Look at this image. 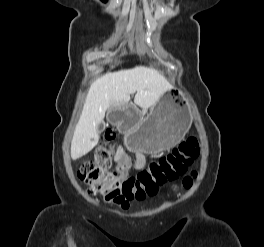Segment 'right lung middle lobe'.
<instances>
[{
  "instance_id": "dd1d6c3e",
  "label": "right lung middle lobe",
  "mask_w": 264,
  "mask_h": 247,
  "mask_svg": "<svg viewBox=\"0 0 264 247\" xmlns=\"http://www.w3.org/2000/svg\"><path fill=\"white\" fill-rule=\"evenodd\" d=\"M103 2H106L107 0H102Z\"/></svg>"
}]
</instances>
